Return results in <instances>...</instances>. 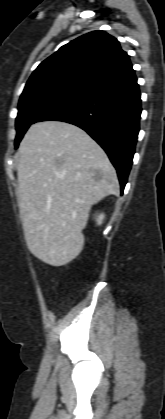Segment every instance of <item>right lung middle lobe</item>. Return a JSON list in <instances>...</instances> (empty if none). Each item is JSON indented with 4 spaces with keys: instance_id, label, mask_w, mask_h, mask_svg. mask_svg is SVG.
<instances>
[{
    "instance_id": "dd1d6c3e",
    "label": "right lung middle lobe",
    "mask_w": 165,
    "mask_h": 419,
    "mask_svg": "<svg viewBox=\"0 0 165 419\" xmlns=\"http://www.w3.org/2000/svg\"><path fill=\"white\" fill-rule=\"evenodd\" d=\"M85 94L87 93L79 89L60 86L36 89L22 94L16 118L15 148H18L19 142L31 124L38 122L46 113Z\"/></svg>"
}]
</instances>
